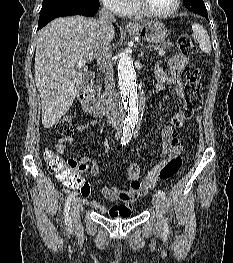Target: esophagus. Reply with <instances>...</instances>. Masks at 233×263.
<instances>
[{
    "mask_svg": "<svg viewBox=\"0 0 233 263\" xmlns=\"http://www.w3.org/2000/svg\"><path fill=\"white\" fill-rule=\"evenodd\" d=\"M126 27H127V28H134L135 26H134L133 23L128 22V23L126 24Z\"/></svg>",
    "mask_w": 233,
    "mask_h": 263,
    "instance_id": "34e87169",
    "label": "esophagus"
}]
</instances>
